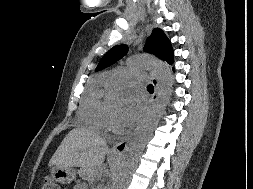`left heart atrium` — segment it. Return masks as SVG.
Listing matches in <instances>:
<instances>
[{"mask_svg": "<svg viewBox=\"0 0 253 189\" xmlns=\"http://www.w3.org/2000/svg\"><path fill=\"white\" fill-rule=\"evenodd\" d=\"M145 110L143 100L135 95L128 98L127 105L119 118L120 124L125 128L134 126L142 117Z\"/></svg>", "mask_w": 253, "mask_h": 189, "instance_id": "1", "label": "left heart atrium"}]
</instances>
